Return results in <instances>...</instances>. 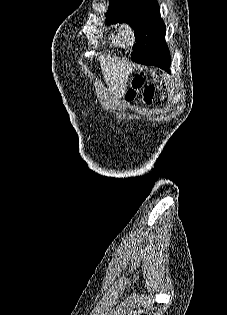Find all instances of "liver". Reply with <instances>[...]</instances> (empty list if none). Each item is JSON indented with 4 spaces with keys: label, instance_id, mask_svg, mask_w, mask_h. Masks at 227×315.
Returning a JSON list of instances; mask_svg holds the SVG:
<instances>
[{
    "label": "liver",
    "instance_id": "obj_1",
    "mask_svg": "<svg viewBox=\"0 0 227 315\" xmlns=\"http://www.w3.org/2000/svg\"><path fill=\"white\" fill-rule=\"evenodd\" d=\"M99 61L108 91L116 99L122 98L126 93L128 76L132 71L131 64L118 57H99Z\"/></svg>",
    "mask_w": 227,
    "mask_h": 315
}]
</instances>
